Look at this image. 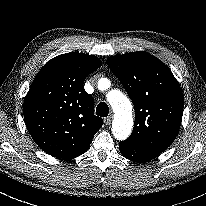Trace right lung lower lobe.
Masks as SVG:
<instances>
[{
	"mask_svg": "<svg viewBox=\"0 0 206 206\" xmlns=\"http://www.w3.org/2000/svg\"><path fill=\"white\" fill-rule=\"evenodd\" d=\"M86 151H87V150H86ZM86 151H84V152H86ZM84 152H83V153H84ZM83 153H82V154H83ZM80 155H81V154H80ZM80 155H78V156H80ZM78 156H76V157H78ZM73 158H75V157H73ZM73 158H71V159H73ZM69 160H70V159H69Z\"/></svg>",
	"mask_w": 206,
	"mask_h": 206,
	"instance_id": "obj_1",
	"label": "right lung lower lobe"
}]
</instances>
